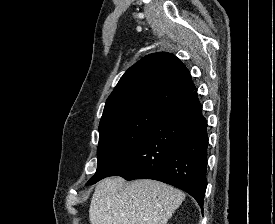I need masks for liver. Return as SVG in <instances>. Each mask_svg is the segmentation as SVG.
<instances>
[{"instance_id":"1","label":"liver","mask_w":275,"mask_h":224,"mask_svg":"<svg viewBox=\"0 0 275 224\" xmlns=\"http://www.w3.org/2000/svg\"><path fill=\"white\" fill-rule=\"evenodd\" d=\"M184 198L183 192L159 181L105 178L96 185L89 219L91 224H167Z\"/></svg>"}]
</instances>
